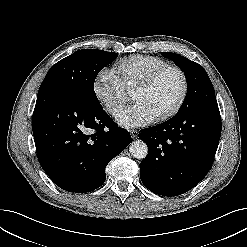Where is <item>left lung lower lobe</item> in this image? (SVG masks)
<instances>
[{"mask_svg": "<svg viewBox=\"0 0 247 247\" xmlns=\"http://www.w3.org/2000/svg\"><path fill=\"white\" fill-rule=\"evenodd\" d=\"M221 135L218 105L191 108L139 138L148 146L140 177L150 191L178 196L196 186L210 170Z\"/></svg>", "mask_w": 247, "mask_h": 247, "instance_id": "left-lung-lower-lobe-1", "label": "left lung lower lobe"}]
</instances>
